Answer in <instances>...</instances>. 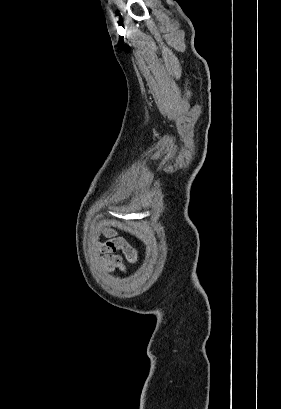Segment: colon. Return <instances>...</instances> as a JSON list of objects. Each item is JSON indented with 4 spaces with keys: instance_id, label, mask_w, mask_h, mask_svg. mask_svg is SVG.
Listing matches in <instances>:
<instances>
[{
    "instance_id": "1",
    "label": "colon",
    "mask_w": 281,
    "mask_h": 409,
    "mask_svg": "<svg viewBox=\"0 0 281 409\" xmlns=\"http://www.w3.org/2000/svg\"><path fill=\"white\" fill-rule=\"evenodd\" d=\"M124 249H131V248H129V247H125Z\"/></svg>"
}]
</instances>
